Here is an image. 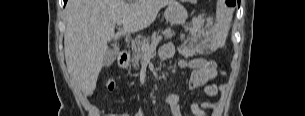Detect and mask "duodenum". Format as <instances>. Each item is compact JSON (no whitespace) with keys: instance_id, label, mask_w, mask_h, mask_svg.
<instances>
[{"instance_id":"obj_1","label":"duodenum","mask_w":305,"mask_h":116,"mask_svg":"<svg viewBox=\"0 0 305 116\" xmlns=\"http://www.w3.org/2000/svg\"><path fill=\"white\" fill-rule=\"evenodd\" d=\"M129 61H130V54L126 51H122L118 56L119 66L122 68L126 67Z\"/></svg>"}]
</instances>
